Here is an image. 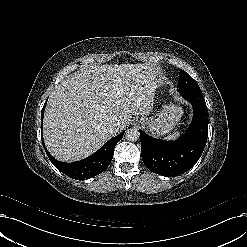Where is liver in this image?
I'll list each match as a JSON object with an SVG mask.
<instances>
[{"mask_svg":"<svg viewBox=\"0 0 247 247\" xmlns=\"http://www.w3.org/2000/svg\"><path fill=\"white\" fill-rule=\"evenodd\" d=\"M158 72L143 64L85 66L62 80L45 109L43 138L56 159L88 157L123 130L132 115L153 108ZM118 122L117 131L108 125Z\"/></svg>","mask_w":247,"mask_h":247,"instance_id":"liver-1","label":"liver"}]
</instances>
